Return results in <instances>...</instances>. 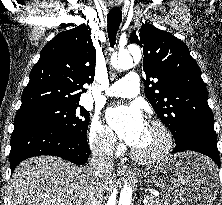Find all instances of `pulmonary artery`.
<instances>
[{"instance_id": "1", "label": "pulmonary artery", "mask_w": 222, "mask_h": 205, "mask_svg": "<svg viewBox=\"0 0 222 205\" xmlns=\"http://www.w3.org/2000/svg\"><path fill=\"white\" fill-rule=\"evenodd\" d=\"M139 93V80L134 72H129L111 85L105 92L110 97L132 98Z\"/></svg>"}]
</instances>
